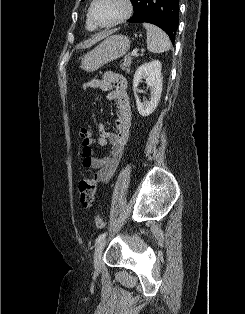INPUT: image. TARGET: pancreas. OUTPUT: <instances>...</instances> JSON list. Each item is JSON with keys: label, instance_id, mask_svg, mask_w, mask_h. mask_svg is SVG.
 Instances as JSON below:
<instances>
[{"label": "pancreas", "instance_id": "pancreas-1", "mask_svg": "<svg viewBox=\"0 0 245 314\" xmlns=\"http://www.w3.org/2000/svg\"><path fill=\"white\" fill-rule=\"evenodd\" d=\"M131 63H132V58L128 54L124 57L123 62L121 63L120 67L123 71H126L127 73H129Z\"/></svg>", "mask_w": 245, "mask_h": 314}]
</instances>
